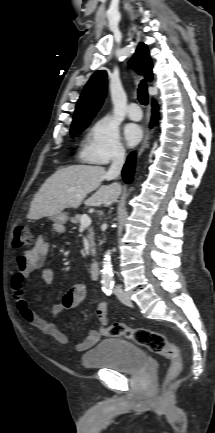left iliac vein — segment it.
<instances>
[{"label": "left iliac vein", "mask_w": 215, "mask_h": 433, "mask_svg": "<svg viewBox=\"0 0 215 433\" xmlns=\"http://www.w3.org/2000/svg\"><path fill=\"white\" fill-rule=\"evenodd\" d=\"M117 297L123 304H125V305L131 304V300H130L127 293H125V292L118 293Z\"/></svg>", "instance_id": "1"}]
</instances>
